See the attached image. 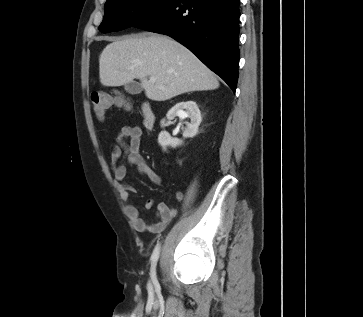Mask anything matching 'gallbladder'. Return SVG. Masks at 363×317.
Returning <instances> with one entry per match:
<instances>
[{
  "label": "gallbladder",
  "instance_id": "gallbladder-1",
  "mask_svg": "<svg viewBox=\"0 0 363 317\" xmlns=\"http://www.w3.org/2000/svg\"><path fill=\"white\" fill-rule=\"evenodd\" d=\"M124 89L127 93H129L131 95L139 94L143 90L141 84L134 82V81L125 84Z\"/></svg>",
  "mask_w": 363,
  "mask_h": 317
}]
</instances>
